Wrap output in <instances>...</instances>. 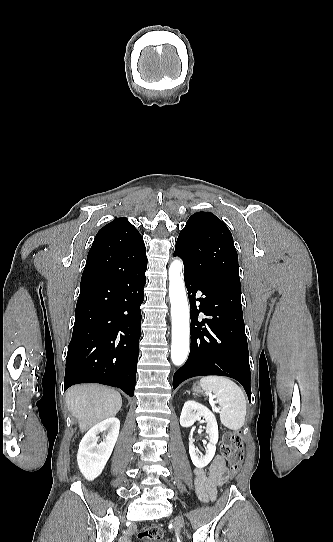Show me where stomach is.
Masks as SVG:
<instances>
[{"mask_svg": "<svg viewBox=\"0 0 333 542\" xmlns=\"http://www.w3.org/2000/svg\"><path fill=\"white\" fill-rule=\"evenodd\" d=\"M192 392H194V396H200V394H203L204 390L200 388L199 384H193Z\"/></svg>", "mask_w": 333, "mask_h": 542, "instance_id": "stomach-1", "label": "stomach"}]
</instances>
